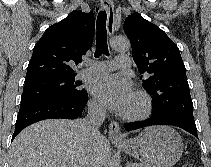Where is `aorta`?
Here are the masks:
<instances>
[{
	"mask_svg": "<svg viewBox=\"0 0 211 167\" xmlns=\"http://www.w3.org/2000/svg\"><path fill=\"white\" fill-rule=\"evenodd\" d=\"M111 47L113 50L118 52H125L130 48V42L125 37H114L111 41ZM112 167H119V163H115Z\"/></svg>",
	"mask_w": 211,
	"mask_h": 167,
	"instance_id": "aorta-1",
	"label": "aorta"
}]
</instances>
